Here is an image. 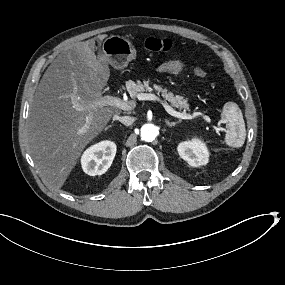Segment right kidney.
Returning <instances> with one entry per match:
<instances>
[{
    "mask_svg": "<svg viewBox=\"0 0 285 285\" xmlns=\"http://www.w3.org/2000/svg\"><path fill=\"white\" fill-rule=\"evenodd\" d=\"M116 155V145L104 141L92 146L82 157V167L86 174L91 176L104 174L112 164Z\"/></svg>",
    "mask_w": 285,
    "mask_h": 285,
    "instance_id": "ca27d5eb",
    "label": "right kidney"
}]
</instances>
